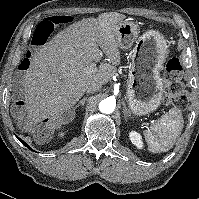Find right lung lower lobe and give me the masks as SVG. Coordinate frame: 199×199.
Instances as JSON below:
<instances>
[{"label":"right lung lower lobe","instance_id":"obj_1","mask_svg":"<svg viewBox=\"0 0 199 199\" xmlns=\"http://www.w3.org/2000/svg\"><path fill=\"white\" fill-rule=\"evenodd\" d=\"M17 137V136H16ZM18 138V140L23 144V145H25L28 149H30V150H32V151H34L27 143H25L22 139H20L19 137H17Z\"/></svg>","mask_w":199,"mask_h":199}]
</instances>
